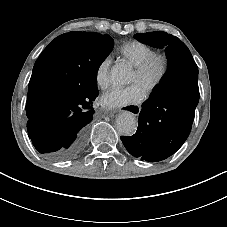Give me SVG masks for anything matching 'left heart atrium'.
I'll use <instances>...</instances> for the list:
<instances>
[{"label":"left heart atrium","mask_w":227,"mask_h":227,"mask_svg":"<svg viewBox=\"0 0 227 227\" xmlns=\"http://www.w3.org/2000/svg\"><path fill=\"white\" fill-rule=\"evenodd\" d=\"M147 96V90L141 84L127 88H112L102 95V103L111 109L140 104Z\"/></svg>","instance_id":"left-heart-atrium-1"}]
</instances>
